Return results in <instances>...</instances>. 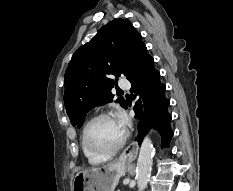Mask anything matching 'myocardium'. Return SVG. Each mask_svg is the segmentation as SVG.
I'll use <instances>...</instances> for the list:
<instances>
[{"instance_id":"obj_1","label":"myocardium","mask_w":233,"mask_h":191,"mask_svg":"<svg viewBox=\"0 0 233 191\" xmlns=\"http://www.w3.org/2000/svg\"><path fill=\"white\" fill-rule=\"evenodd\" d=\"M102 119H114V117L109 113H100L94 116L93 118H91L85 126L84 133H83V142H84V146L86 150L90 154L97 156V157L107 158L117 153L124 146L127 140V133L125 132L120 142L109 150L102 151V150H98L94 148L90 143V132L93 126Z\"/></svg>"}]
</instances>
